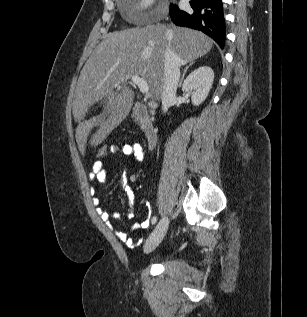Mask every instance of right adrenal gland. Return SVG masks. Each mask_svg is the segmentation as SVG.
I'll list each match as a JSON object with an SVG mask.
<instances>
[{
  "label": "right adrenal gland",
  "mask_w": 307,
  "mask_h": 317,
  "mask_svg": "<svg viewBox=\"0 0 307 317\" xmlns=\"http://www.w3.org/2000/svg\"><path fill=\"white\" fill-rule=\"evenodd\" d=\"M194 63H195V61H192L191 63H189V65H187V66L185 67V69H184V71H183V74H182V77H181V80H180L179 85H181V84H182L183 79H184V76H185L186 71L188 70V68H189L190 66H192Z\"/></svg>",
  "instance_id": "obj_1"
}]
</instances>
